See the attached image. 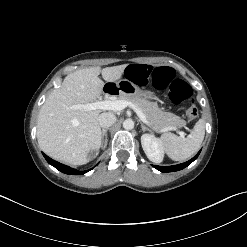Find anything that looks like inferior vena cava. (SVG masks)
Here are the masks:
<instances>
[{
  "label": "inferior vena cava",
  "mask_w": 247,
  "mask_h": 247,
  "mask_svg": "<svg viewBox=\"0 0 247 247\" xmlns=\"http://www.w3.org/2000/svg\"><path fill=\"white\" fill-rule=\"evenodd\" d=\"M98 120L102 128H108L116 122V116L111 112H104L99 115Z\"/></svg>",
  "instance_id": "602c4592"
}]
</instances>
